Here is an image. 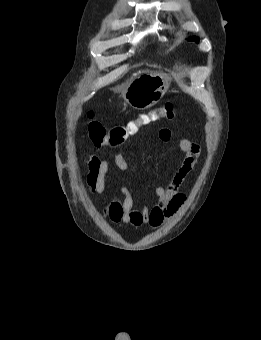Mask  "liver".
I'll use <instances>...</instances> for the list:
<instances>
[{"label":"liver","mask_w":261,"mask_h":340,"mask_svg":"<svg viewBox=\"0 0 261 340\" xmlns=\"http://www.w3.org/2000/svg\"><path fill=\"white\" fill-rule=\"evenodd\" d=\"M133 76H136V74H134ZM127 85H125L123 88H122V90L126 87Z\"/></svg>","instance_id":"6515ba94"}]
</instances>
